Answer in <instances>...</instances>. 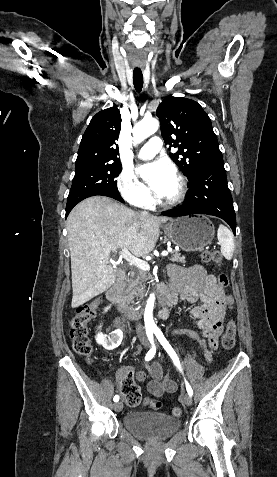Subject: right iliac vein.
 <instances>
[{
	"mask_svg": "<svg viewBox=\"0 0 277 477\" xmlns=\"http://www.w3.org/2000/svg\"><path fill=\"white\" fill-rule=\"evenodd\" d=\"M145 345H146V344H145ZM122 408H123V404H122L121 401H120V402H116V403L114 404V410H115V411L119 412V411L122 410Z\"/></svg>",
	"mask_w": 277,
	"mask_h": 477,
	"instance_id": "1",
	"label": "right iliac vein"
}]
</instances>
